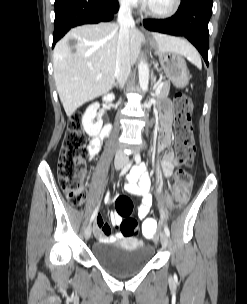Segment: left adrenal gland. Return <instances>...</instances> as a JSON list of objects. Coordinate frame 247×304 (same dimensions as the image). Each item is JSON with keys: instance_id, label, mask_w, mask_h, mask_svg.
<instances>
[{"instance_id": "a2214340", "label": "left adrenal gland", "mask_w": 247, "mask_h": 304, "mask_svg": "<svg viewBox=\"0 0 247 304\" xmlns=\"http://www.w3.org/2000/svg\"><path fill=\"white\" fill-rule=\"evenodd\" d=\"M152 85H153V89H155V87H156V77L154 75H152Z\"/></svg>"}]
</instances>
